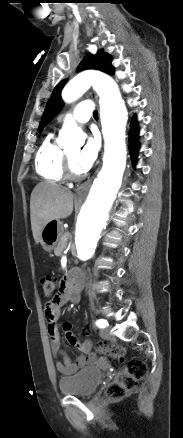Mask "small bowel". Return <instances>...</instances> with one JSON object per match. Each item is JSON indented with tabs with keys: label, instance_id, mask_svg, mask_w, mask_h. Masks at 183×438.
Here are the masks:
<instances>
[{
	"label": "small bowel",
	"instance_id": "c3829d8e",
	"mask_svg": "<svg viewBox=\"0 0 183 438\" xmlns=\"http://www.w3.org/2000/svg\"><path fill=\"white\" fill-rule=\"evenodd\" d=\"M85 275L81 270H73L63 281L59 293L54 299L46 304L45 317L47 320V331L51 341L52 352L55 356H60L62 360L56 361V369L62 375L68 376L74 374L79 369L92 363L95 356L91 351V344L88 341L79 342L72 333V325L69 322L63 323L65 340L71 346L77 348L82 354L72 360L62 349L61 339L58 329V321L61 316V308L69 300L73 299V282L79 280L83 283Z\"/></svg>",
	"mask_w": 183,
	"mask_h": 438
}]
</instances>
